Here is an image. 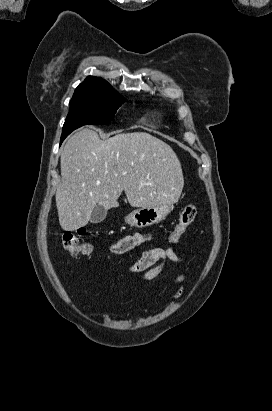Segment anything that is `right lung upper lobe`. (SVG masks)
<instances>
[{"instance_id":"1","label":"right lung upper lobe","mask_w":272,"mask_h":411,"mask_svg":"<svg viewBox=\"0 0 272 411\" xmlns=\"http://www.w3.org/2000/svg\"><path fill=\"white\" fill-rule=\"evenodd\" d=\"M112 88L105 80L98 77L89 76L85 79V81L80 84L74 94L82 93V92H89V91H98Z\"/></svg>"}]
</instances>
